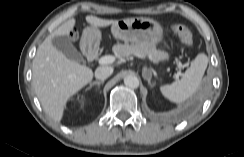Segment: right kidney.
<instances>
[{
    "label": "right kidney",
    "mask_w": 244,
    "mask_h": 157,
    "mask_svg": "<svg viewBox=\"0 0 244 157\" xmlns=\"http://www.w3.org/2000/svg\"><path fill=\"white\" fill-rule=\"evenodd\" d=\"M81 106H82V107L84 106V102H82Z\"/></svg>",
    "instance_id": "1"
}]
</instances>
